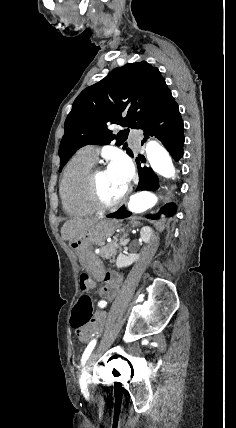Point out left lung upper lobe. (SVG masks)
<instances>
[{
  "label": "left lung upper lobe",
  "instance_id": "1",
  "mask_svg": "<svg viewBox=\"0 0 236 428\" xmlns=\"http://www.w3.org/2000/svg\"><path fill=\"white\" fill-rule=\"evenodd\" d=\"M173 100L161 73L149 63H128L114 69L98 83L84 89L73 102L59 147V172L85 145H107L115 139L117 146L122 145L129 129L115 135L108 125L142 129ZM123 149L133 157L126 143Z\"/></svg>",
  "mask_w": 236,
  "mask_h": 428
}]
</instances>
